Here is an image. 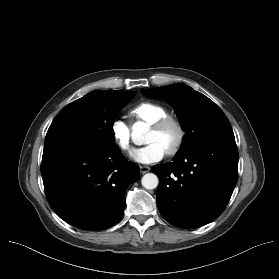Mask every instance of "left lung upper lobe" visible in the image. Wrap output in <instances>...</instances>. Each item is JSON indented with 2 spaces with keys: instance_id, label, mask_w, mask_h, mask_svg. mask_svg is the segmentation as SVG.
<instances>
[{
  "instance_id": "left-lung-upper-lobe-1",
  "label": "left lung upper lobe",
  "mask_w": 279,
  "mask_h": 279,
  "mask_svg": "<svg viewBox=\"0 0 279 279\" xmlns=\"http://www.w3.org/2000/svg\"><path fill=\"white\" fill-rule=\"evenodd\" d=\"M141 93L148 97L167 100L174 107L185 131L177 155H182L202 143L235 140L230 122L223 111L212 100L191 87L178 83L141 89Z\"/></svg>"
}]
</instances>
